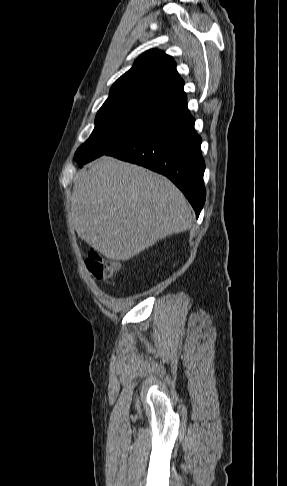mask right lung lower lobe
<instances>
[{
    "mask_svg": "<svg viewBox=\"0 0 287 486\" xmlns=\"http://www.w3.org/2000/svg\"><path fill=\"white\" fill-rule=\"evenodd\" d=\"M187 106L171 112L146 132L106 153L167 176L184 193L198 217L205 202L201 138Z\"/></svg>",
    "mask_w": 287,
    "mask_h": 486,
    "instance_id": "98d812e1",
    "label": "right lung lower lobe"
}]
</instances>
